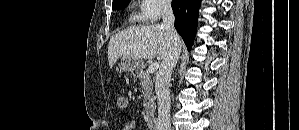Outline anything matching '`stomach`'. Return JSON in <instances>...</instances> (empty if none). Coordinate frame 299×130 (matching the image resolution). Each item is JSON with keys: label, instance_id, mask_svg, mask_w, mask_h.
Instances as JSON below:
<instances>
[{"label": "stomach", "instance_id": "0dacf381", "mask_svg": "<svg viewBox=\"0 0 299 130\" xmlns=\"http://www.w3.org/2000/svg\"><path fill=\"white\" fill-rule=\"evenodd\" d=\"M143 61L129 56H123L120 59V68L131 74H138L142 69Z\"/></svg>", "mask_w": 299, "mask_h": 130}]
</instances>
